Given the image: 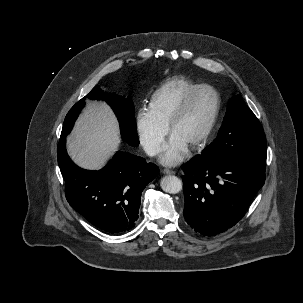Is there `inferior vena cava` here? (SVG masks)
I'll use <instances>...</instances> for the list:
<instances>
[{
    "label": "inferior vena cava",
    "instance_id": "1",
    "mask_svg": "<svg viewBox=\"0 0 303 303\" xmlns=\"http://www.w3.org/2000/svg\"><path fill=\"white\" fill-rule=\"evenodd\" d=\"M145 151L148 155L154 156L157 153H159V147L157 145L150 144V145L145 147Z\"/></svg>",
    "mask_w": 303,
    "mask_h": 303
}]
</instances>
